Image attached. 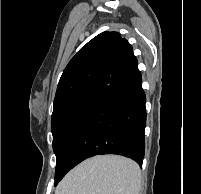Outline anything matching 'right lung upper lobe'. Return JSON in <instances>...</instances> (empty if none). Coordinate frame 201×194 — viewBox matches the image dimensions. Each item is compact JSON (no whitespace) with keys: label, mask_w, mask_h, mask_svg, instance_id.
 Segmentation results:
<instances>
[{"label":"right lung upper lobe","mask_w":201,"mask_h":194,"mask_svg":"<svg viewBox=\"0 0 201 194\" xmlns=\"http://www.w3.org/2000/svg\"><path fill=\"white\" fill-rule=\"evenodd\" d=\"M131 45L118 32H103L68 63L60 78L54 107L77 97L98 96L137 69Z\"/></svg>","instance_id":"right-lung-upper-lobe-1"}]
</instances>
